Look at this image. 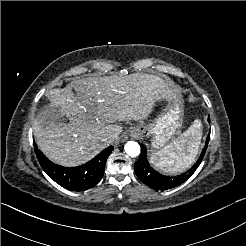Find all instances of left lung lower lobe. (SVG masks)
<instances>
[{
	"instance_id": "1",
	"label": "left lung lower lobe",
	"mask_w": 246,
	"mask_h": 246,
	"mask_svg": "<svg viewBox=\"0 0 246 246\" xmlns=\"http://www.w3.org/2000/svg\"><path fill=\"white\" fill-rule=\"evenodd\" d=\"M209 139L210 136L207 137L205 147L196 164L189 171L177 177L163 176L160 173L156 172L152 167H150L147 160V149L143 144H141V155L134 166L136 175L144 184L156 190H167L176 187L186 181L189 177H191V175L198 168L206 152Z\"/></svg>"
}]
</instances>
